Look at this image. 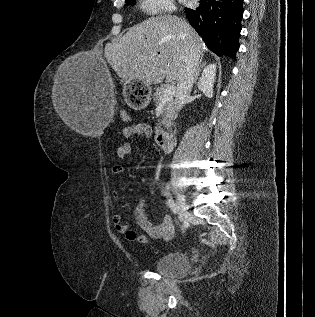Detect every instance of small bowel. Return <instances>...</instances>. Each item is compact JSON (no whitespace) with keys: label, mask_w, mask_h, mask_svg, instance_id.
I'll return each instance as SVG.
<instances>
[{"label":"small bowel","mask_w":315,"mask_h":317,"mask_svg":"<svg viewBox=\"0 0 315 317\" xmlns=\"http://www.w3.org/2000/svg\"><path fill=\"white\" fill-rule=\"evenodd\" d=\"M152 128L150 125L144 122L135 123L130 126H127L123 129L122 134L125 138L131 136L139 135L143 137L152 136ZM134 148L131 143L125 142L121 144L116 149V155L119 158H124L132 155ZM124 167L122 165H114L111 169V175L116 176L123 173ZM114 200L119 201L121 196L118 192L114 191L112 193ZM134 217L137 225L143 231V233L132 230L127 224L123 223L122 216L118 213L112 215V223L115 230L122 234L127 240L135 241L140 244H145L147 242V236H150L153 239H170L174 232V226L172 218L169 214H166L163 217L161 223L154 225L147 217L145 212V203L142 201L136 207L134 212Z\"/></svg>","instance_id":"c3829d8e"}]
</instances>
